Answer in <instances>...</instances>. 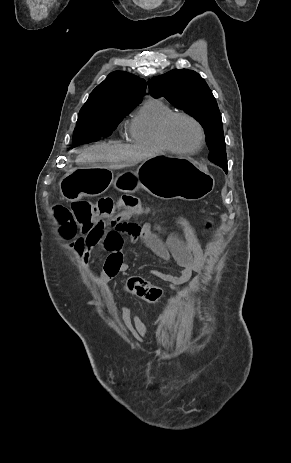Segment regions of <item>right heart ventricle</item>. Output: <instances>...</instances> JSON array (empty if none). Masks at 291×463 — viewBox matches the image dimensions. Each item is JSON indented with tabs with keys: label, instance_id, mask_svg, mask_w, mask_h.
<instances>
[{
	"label": "right heart ventricle",
	"instance_id": "obj_1",
	"mask_svg": "<svg viewBox=\"0 0 291 463\" xmlns=\"http://www.w3.org/2000/svg\"><path fill=\"white\" fill-rule=\"evenodd\" d=\"M175 111L160 99H147L127 127L129 141L159 151H168L160 129L164 120Z\"/></svg>",
	"mask_w": 291,
	"mask_h": 463
}]
</instances>
